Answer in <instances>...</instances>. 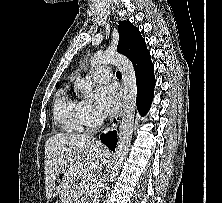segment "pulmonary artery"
Masks as SVG:
<instances>
[{"instance_id":"e3ab8cb5","label":"pulmonary artery","mask_w":222,"mask_h":203,"mask_svg":"<svg viewBox=\"0 0 222 203\" xmlns=\"http://www.w3.org/2000/svg\"><path fill=\"white\" fill-rule=\"evenodd\" d=\"M92 77L95 82L98 83H106L108 82L111 77V68L109 66H100L97 67L92 74Z\"/></svg>"}]
</instances>
